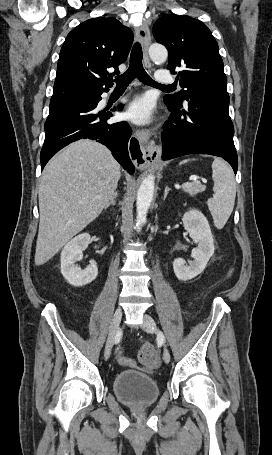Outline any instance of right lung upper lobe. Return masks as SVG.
<instances>
[{"mask_svg":"<svg viewBox=\"0 0 272 455\" xmlns=\"http://www.w3.org/2000/svg\"><path fill=\"white\" fill-rule=\"evenodd\" d=\"M133 33L115 18L89 19L73 29L61 48L50 103L91 97L113 85L108 68L122 64Z\"/></svg>","mask_w":272,"mask_h":455,"instance_id":"cb5924a9","label":"right lung upper lobe"}]
</instances>
